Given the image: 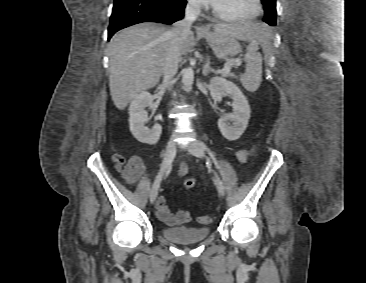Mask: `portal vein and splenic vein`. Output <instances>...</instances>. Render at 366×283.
Masks as SVG:
<instances>
[{
  "label": "portal vein and splenic vein",
  "mask_w": 366,
  "mask_h": 283,
  "mask_svg": "<svg viewBox=\"0 0 366 283\" xmlns=\"http://www.w3.org/2000/svg\"><path fill=\"white\" fill-rule=\"evenodd\" d=\"M241 64H242V61L240 60V59H235V60H233V61H231L230 63H227L225 66H224V68H223V74H228V73H230L231 72V67L232 66H236V67H239V66H241Z\"/></svg>",
  "instance_id": "18ae733b"
}]
</instances>
